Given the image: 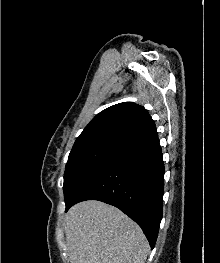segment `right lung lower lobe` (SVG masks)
Returning a JSON list of instances; mask_svg holds the SVG:
<instances>
[{"label": "right lung lower lobe", "mask_w": 220, "mask_h": 263, "mask_svg": "<svg viewBox=\"0 0 220 263\" xmlns=\"http://www.w3.org/2000/svg\"><path fill=\"white\" fill-rule=\"evenodd\" d=\"M164 162L158 136L122 149L78 193L66 211L84 200L111 204L143 230L151 248L162 219Z\"/></svg>", "instance_id": "obj_1"}]
</instances>
